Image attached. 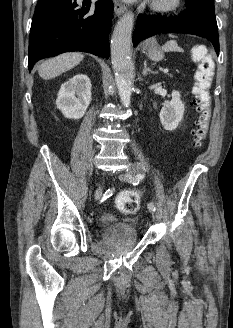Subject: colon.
Listing matches in <instances>:
<instances>
[{
	"mask_svg": "<svg viewBox=\"0 0 233 328\" xmlns=\"http://www.w3.org/2000/svg\"><path fill=\"white\" fill-rule=\"evenodd\" d=\"M199 61L198 69L194 76L192 89V107L197 113V126L192 132L193 145L200 146L207 136L211 115L210 86L214 76L215 63L212 53L200 48L194 53ZM141 194L138 191L129 190L122 192L117 200V208L124 214H134L140 206Z\"/></svg>",
	"mask_w": 233,
	"mask_h": 328,
	"instance_id": "5ec220e1",
	"label": "colon"
}]
</instances>
